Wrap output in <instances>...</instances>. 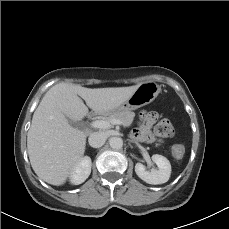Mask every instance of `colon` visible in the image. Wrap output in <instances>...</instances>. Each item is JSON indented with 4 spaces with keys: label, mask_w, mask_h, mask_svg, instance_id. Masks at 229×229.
I'll list each match as a JSON object with an SVG mask.
<instances>
[{
    "label": "colon",
    "mask_w": 229,
    "mask_h": 229,
    "mask_svg": "<svg viewBox=\"0 0 229 229\" xmlns=\"http://www.w3.org/2000/svg\"><path fill=\"white\" fill-rule=\"evenodd\" d=\"M174 129L171 122L168 119L161 120L154 128V137L157 140H163L173 135ZM183 148L177 147L173 150V155L176 158H181L183 155Z\"/></svg>",
    "instance_id": "obj_1"
}]
</instances>
